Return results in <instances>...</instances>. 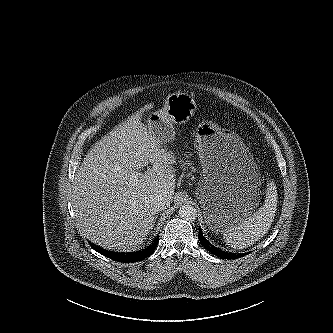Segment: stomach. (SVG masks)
Here are the masks:
<instances>
[{
    "instance_id": "1",
    "label": "stomach",
    "mask_w": 333,
    "mask_h": 333,
    "mask_svg": "<svg viewBox=\"0 0 333 333\" xmlns=\"http://www.w3.org/2000/svg\"><path fill=\"white\" fill-rule=\"evenodd\" d=\"M196 107L189 94L168 95L161 110L148 114V132L160 144L171 142L173 123L188 121ZM195 144L203 175L196 191L201 204L199 223L208 234L225 236L262 204L266 184L252 155L234 133L203 122L195 130Z\"/></svg>"
}]
</instances>
